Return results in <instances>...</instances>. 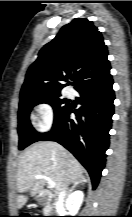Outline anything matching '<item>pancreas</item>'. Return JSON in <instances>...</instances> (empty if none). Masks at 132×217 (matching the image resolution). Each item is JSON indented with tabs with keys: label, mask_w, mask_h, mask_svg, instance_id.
I'll use <instances>...</instances> for the list:
<instances>
[{
	"label": "pancreas",
	"mask_w": 132,
	"mask_h": 217,
	"mask_svg": "<svg viewBox=\"0 0 132 217\" xmlns=\"http://www.w3.org/2000/svg\"><path fill=\"white\" fill-rule=\"evenodd\" d=\"M48 209H49V207L47 206V207H46V210H48Z\"/></svg>",
	"instance_id": "obj_1"
}]
</instances>
